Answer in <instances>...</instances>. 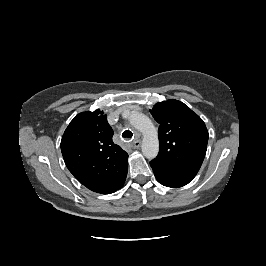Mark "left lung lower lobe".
Listing matches in <instances>:
<instances>
[{"mask_svg":"<svg viewBox=\"0 0 266 266\" xmlns=\"http://www.w3.org/2000/svg\"><path fill=\"white\" fill-rule=\"evenodd\" d=\"M158 182L161 183L164 186H167V187L177 188L176 186L171 185V184H167V183H164V182H161V181H158Z\"/></svg>","mask_w":266,"mask_h":266,"instance_id":"obj_1","label":"left lung lower lobe"}]
</instances>
